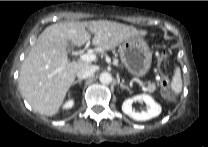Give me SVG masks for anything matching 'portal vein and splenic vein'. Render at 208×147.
Segmentation results:
<instances>
[{
  "mask_svg": "<svg viewBox=\"0 0 208 147\" xmlns=\"http://www.w3.org/2000/svg\"><path fill=\"white\" fill-rule=\"evenodd\" d=\"M80 60L84 62H92L96 60V55L92 53H83V54H80Z\"/></svg>",
  "mask_w": 208,
  "mask_h": 147,
  "instance_id": "portal-vein-and-splenic-vein-1",
  "label": "portal vein and splenic vein"
}]
</instances>
